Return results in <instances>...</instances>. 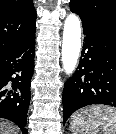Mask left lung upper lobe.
Segmentation results:
<instances>
[{"label":"left lung upper lobe","instance_id":"5c2ea615","mask_svg":"<svg viewBox=\"0 0 116 134\" xmlns=\"http://www.w3.org/2000/svg\"><path fill=\"white\" fill-rule=\"evenodd\" d=\"M70 10L77 13L82 21L116 26L115 0H71Z\"/></svg>","mask_w":116,"mask_h":134}]
</instances>
